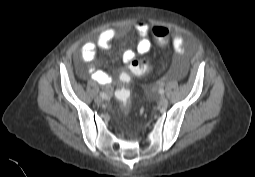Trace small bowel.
Returning <instances> with one entry per match:
<instances>
[{
	"instance_id": "c3829d8e",
	"label": "small bowel",
	"mask_w": 255,
	"mask_h": 177,
	"mask_svg": "<svg viewBox=\"0 0 255 177\" xmlns=\"http://www.w3.org/2000/svg\"><path fill=\"white\" fill-rule=\"evenodd\" d=\"M135 32L141 38L137 45V52L140 54H146L151 49V41L148 38L149 25L144 22H137L134 26ZM117 33L114 29L108 28L97 34L95 41L86 42L81 48V60L84 64L83 68H79L81 75H87L93 81L109 86L111 84V77L103 70L97 69L92 61L95 58L97 48L108 49L111 42L116 38ZM173 48L179 55L184 53L183 39L180 35H176L173 38ZM135 58V53L131 50L125 51L122 55L124 62H130ZM110 92V89H108Z\"/></svg>"
}]
</instances>
